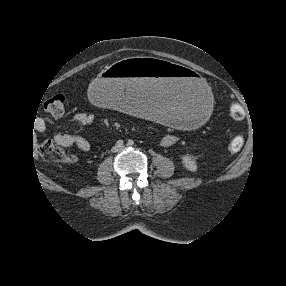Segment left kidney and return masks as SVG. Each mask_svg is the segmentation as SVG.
<instances>
[{"mask_svg":"<svg viewBox=\"0 0 286 286\" xmlns=\"http://www.w3.org/2000/svg\"><path fill=\"white\" fill-rule=\"evenodd\" d=\"M181 160L187 170L192 172L197 170V164L190 156L184 155L181 157Z\"/></svg>","mask_w":286,"mask_h":286,"instance_id":"1","label":"left kidney"}]
</instances>
